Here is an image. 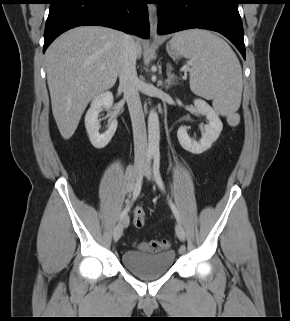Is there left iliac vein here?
<instances>
[{"mask_svg": "<svg viewBox=\"0 0 290 321\" xmlns=\"http://www.w3.org/2000/svg\"><path fill=\"white\" fill-rule=\"evenodd\" d=\"M145 176L148 180H152L153 179V173H152V169L151 167H148L147 170H146V173H145ZM175 232H176V235L177 237L181 240V241H184L185 240V230L184 228L182 227V225L180 223H177L175 225Z\"/></svg>", "mask_w": 290, "mask_h": 321, "instance_id": "left-iliac-vein-1", "label": "left iliac vein"}]
</instances>
